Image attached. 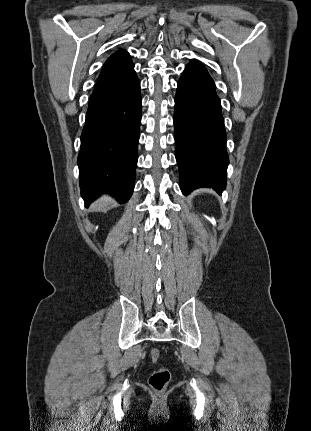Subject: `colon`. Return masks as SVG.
Listing matches in <instances>:
<instances>
[{
	"instance_id": "1",
	"label": "colon",
	"mask_w": 311,
	"mask_h": 431,
	"mask_svg": "<svg viewBox=\"0 0 311 431\" xmlns=\"http://www.w3.org/2000/svg\"><path fill=\"white\" fill-rule=\"evenodd\" d=\"M151 359L154 363H157L160 358V351L157 348H153L150 352ZM171 374L170 371L161 367L155 370L149 377V385L156 392H163L170 381Z\"/></svg>"
}]
</instances>
